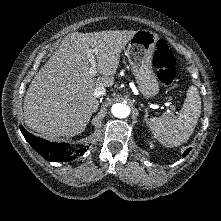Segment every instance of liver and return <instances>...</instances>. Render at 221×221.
<instances>
[{
  "label": "liver",
  "mask_w": 221,
  "mask_h": 221,
  "mask_svg": "<svg viewBox=\"0 0 221 221\" xmlns=\"http://www.w3.org/2000/svg\"><path fill=\"white\" fill-rule=\"evenodd\" d=\"M136 31L73 32L36 73L24 97V121L47 138L72 137L87 126L99 102L96 87H111L122 50ZM89 50H94L101 77L90 75Z\"/></svg>",
  "instance_id": "liver-1"
}]
</instances>
